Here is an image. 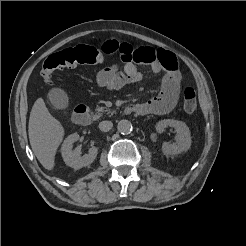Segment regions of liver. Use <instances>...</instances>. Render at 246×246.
<instances>
[{"label":"liver","instance_id":"6515ba94","mask_svg":"<svg viewBox=\"0 0 246 246\" xmlns=\"http://www.w3.org/2000/svg\"><path fill=\"white\" fill-rule=\"evenodd\" d=\"M28 135L31 148L41 165L47 170H52L56 151L64 137V128L50 114L42 98H38L33 104Z\"/></svg>","mask_w":246,"mask_h":246}]
</instances>
